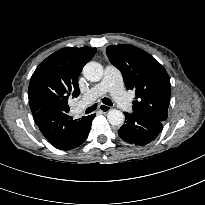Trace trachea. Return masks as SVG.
<instances>
[{"instance_id":"trachea-1","label":"trachea","mask_w":205,"mask_h":205,"mask_svg":"<svg viewBox=\"0 0 205 205\" xmlns=\"http://www.w3.org/2000/svg\"><path fill=\"white\" fill-rule=\"evenodd\" d=\"M102 102H103L105 105H108V106H112V105H113L112 101H111L109 98H103V99H102ZM96 108H97V105L94 104L93 106L87 108L86 111H85V113H91V112H93Z\"/></svg>"}]
</instances>
